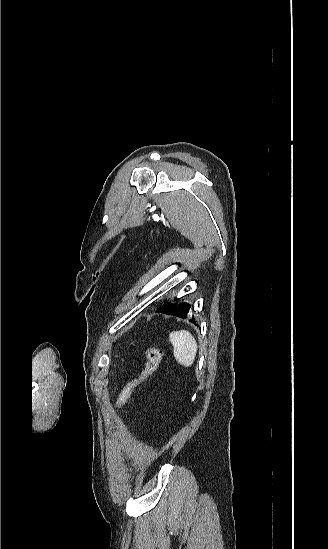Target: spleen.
Masks as SVG:
<instances>
[{
  "label": "spleen",
  "instance_id": "obj_1",
  "mask_svg": "<svg viewBox=\"0 0 328 549\" xmlns=\"http://www.w3.org/2000/svg\"><path fill=\"white\" fill-rule=\"evenodd\" d=\"M173 345L174 357L180 365L191 367L197 353V343L189 331H173L169 335Z\"/></svg>",
  "mask_w": 328,
  "mask_h": 549
}]
</instances>
